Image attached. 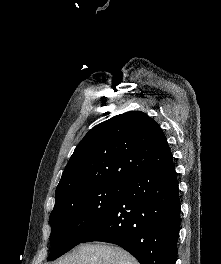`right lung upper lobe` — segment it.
<instances>
[{"label":"right lung upper lobe","mask_w":221,"mask_h":264,"mask_svg":"<svg viewBox=\"0 0 221 264\" xmlns=\"http://www.w3.org/2000/svg\"><path fill=\"white\" fill-rule=\"evenodd\" d=\"M160 126L140 111L114 116L91 129L75 148L55 192V206L69 196L107 182H126L169 163Z\"/></svg>","instance_id":"cb5924a9"}]
</instances>
